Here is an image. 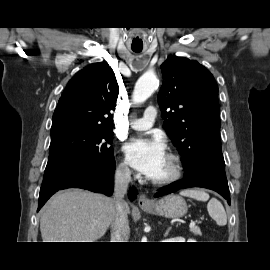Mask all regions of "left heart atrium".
<instances>
[{"instance_id": "obj_1", "label": "left heart atrium", "mask_w": 270, "mask_h": 270, "mask_svg": "<svg viewBox=\"0 0 270 270\" xmlns=\"http://www.w3.org/2000/svg\"><path fill=\"white\" fill-rule=\"evenodd\" d=\"M124 152L132 167L153 179L166 158L165 145L159 139H132L124 145Z\"/></svg>"}]
</instances>
